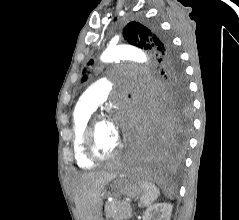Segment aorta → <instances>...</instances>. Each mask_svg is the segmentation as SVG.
<instances>
[{"label": "aorta", "instance_id": "1", "mask_svg": "<svg viewBox=\"0 0 239 220\" xmlns=\"http://www.w3.org/2000/svg\"><path fill=\"white\" fill-rule=\"evenodd\" d=\"M145 48H123L122 44L108 47L101 55L104 62H112L121 58V61H137V65H144Z\"/></svg>", "mask_w": 239, "mask_h": 220}]
</instances>
